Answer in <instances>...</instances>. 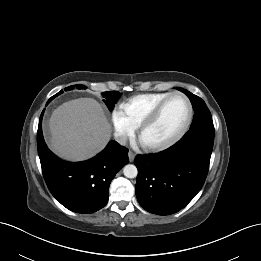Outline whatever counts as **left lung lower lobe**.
Instances as JSON below:
<instances>
[{"label": "left lung lower lobe", "mask_w": 261, "mask_h": 261, "mask_svg": "<svg viewBox=\"0 0 261 261\" xmlns=\"http://www.w3.org/2000/svg\"><path fill=\"white\" fill-rule=\"evenodd\" d=\"M214 133L189 130L165 151L136 156V197L145 210L158 215L173 214L195 197L208 173Z\"/></svg>", "instance_id": "0a47b994"}]
</instances>
